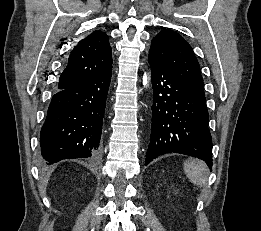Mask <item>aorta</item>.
I'll list each match as a JSON object with an SVG mask.
<instances>
[{
    "label": "aorta",
    "mask_w": 261,
    "mask_h": 231,
    "mask_svg": "<svg viewBox=\"0 0 261 231\" xmlns=\"http://www.w3.org/2000/svg\"><path fill=\"white\" fill-rule=\"evenodd\" d=\"M149 83V77L147 76V74H144L143 76V85L144 86H148Z\"/></svg>",
    "instance_id": "1"
}]
</instances>
